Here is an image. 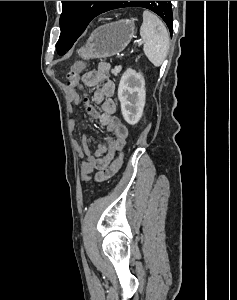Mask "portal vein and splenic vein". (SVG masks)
Returning <instances> with one entry per match:
<instances>
[{
    "mask_svg": "<svg viewBox=\"0 0 237 300\" xmlns=\"http://www.w3.org/2000/svg\"><path fill=\"white\" fill-rule=\"evenodd\" d=\"M137 43H139V45H142L143 41H137ZM135 50V49H134ZM132 52V51H131ZM134 52V51H133ZM130 55V54H129ZM129 57V56H128Z\"/></svg>",
    "mask_w": 237,
    "mask_h": 300,
    "instance_id": "1",
    "label": "portal vein and splenic vein"
}]
</instances>
